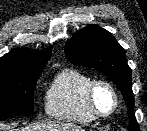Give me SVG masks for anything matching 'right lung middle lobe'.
I'll return each mask as SVG.
<instances>
[{
  "mask_svg": "<svg viewBox=\"0 0 147 131\" xmlns=\"http://www.w3.org/2000/svg\"><path fill=\"white\" fill-rule=\"evenodd\" d=\"M40 73L0 72V118L33 112L34 88Z\"/></svg>",
  "mask_w": 147,
  "mask_h": 131,
  "instance_id": "dd1d6c3e",
  "label": "right lung middle lobe"
}]
</instances>
